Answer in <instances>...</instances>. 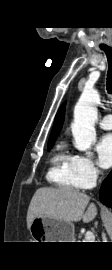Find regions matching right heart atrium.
<instances>
[{
  "label": "right heart atrium",
  "instance_id": "obj_1",
  "mask_svg": "<svg viewBox=\"0 0 112 270\" xmlns=\"http://www.w3.org/2000/svg\"><path fill=\"white\" fill-rule=\"evenodd\" d=\"M73 160L79 187L81 189L91 188L101 174L96 162L91 157L82 154L74 155Z\"/></svg>",
  "mask_w": 112,
  "mask_h": 270
}]
</instances>
